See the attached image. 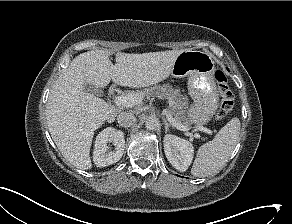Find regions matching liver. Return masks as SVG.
<instances>
[{
	"label": "liver",
	"mask_w": 292,
	"mask_h": 224,
	"mask_svg": "<svg viewBox=\"0 0 292 224\" xmlns=\"http://www.w3.org/2000/svg\"><path fill=\"white\" fill-rule=\"evenodd\" d=\"M182 51L117 52L115 65L108 50H92L75 57L54 83L46 110L49 132L63 157L79 169H91L94 131L113 112L107 102L85 91L84 84L104 88L112 80L116 85L140 88L158 83L171 74Z\"/></svg>",
	"instance_id": "6515ba94"
}]
</instances>
